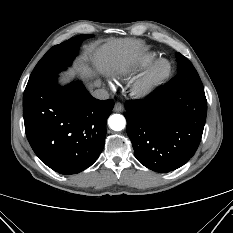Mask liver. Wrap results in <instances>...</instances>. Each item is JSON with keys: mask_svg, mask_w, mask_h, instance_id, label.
Instances as JSON below:
<instances>
[{"mask_svg": "<svg viewBox=\"0 0 233 233\" xmlns=\"http://www.w3.org/2000/svg\"><path fill=\"white\" fill-rule=\"evenodd\" d=\"M146 50L141 40L124 38L110 39L99 48L91 46L88 54L92 57L97 70L126 74L143 60ZM70 73L90 77L92 70L85 63L78 62Z\"/></svg>", "mask_w": 233, "mask_h": 233, "instance_id": "liver-1", "label": "liver"}]
</instances>
